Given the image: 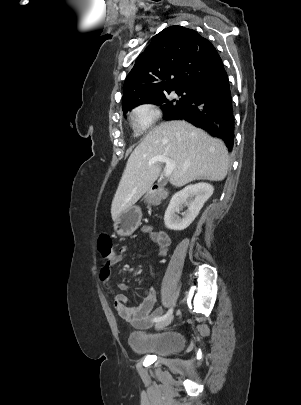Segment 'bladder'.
<instances>
[{
  "mask_svg": "<svg viewBox=\"0 0 301 405\" xmlns=\"http://www.w3.org/2000/svg\"><path fill=\"white\" fill-rule=\"evenodd\" d=\"M128 342L134 353L157 357L173 356L184 346L182 336L172 330L157 333L135 331L130 334Z\"/></svg>",
  "mask_w": 301,
  "mask_h": 405,
  "instance_id": "1",
  "label": "bladder"
}]
</instances>
